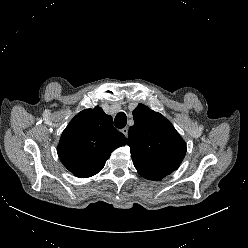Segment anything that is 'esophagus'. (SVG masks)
Segmentation results:
<instances>
[{"label": "esophagus", "instance_id": "34e87169", "mask_svg": "<svg viewBox=\"0 0 248 248\" xmlns=\"http://www.w3.org/2000/svg\"><path fill=\"white\" fill-rule=\"evenodd\" d=\"M121 132L127 137L128 136V128L125 127L121 130Z\"/></svg>", "mask_w": 248, "mask_h": 248}]
</instances>
